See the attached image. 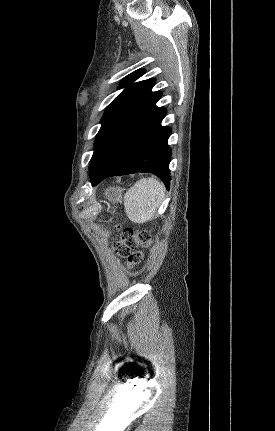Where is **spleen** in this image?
<instances>
[{"label": "spleen", "instance_id": "spleen-1", "mask_svg": "<svg viewBox=\"0 0 275 431\" xmlns=\"http://www.w3.org/2000/svg\"><path fill=\"white\" fill-rule=\"evenodd\" d=\"M165 187L155 178L140 179L124 195L128 218L135 223L151 220L164 199Z\"/></svg>", "mask_w": 275, "mask_h": 431}]
</instances>
